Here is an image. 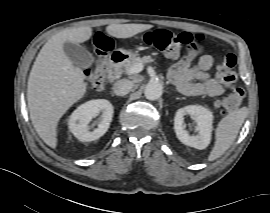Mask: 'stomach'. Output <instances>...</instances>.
Listing matches in <instances>:
<instances>
[{
    "label": "stomach",
    "instance_id": "0dacf381",
    "mask_svg": "<svg viewBox=\"0 0 270 213\" xmlns=\"http://www.w3.org/2000/svg\"><path fill=\"white\" fill-rule=\"evenodd\" d=\"M119 52L126 57H133L137 55V52H133L132 50H128V51L120 50Z\"/></svg>",
    "mask_w": 270,
    "mask_h": 213
}]
</instances>
